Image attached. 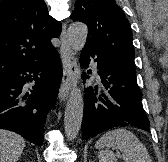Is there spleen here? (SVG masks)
<instances>
[{
    "label": "spleen",
    "instance_id": "spleen-1",
    "mask_svg": "<svg viewBox=\"0 0 168 162\" xmlns=\"http://www.w3.org/2000/svg\"><path fill=\"white\" fill-rule=\"evenodd\" d=\"M99 162H117L112 149H119L125 162H152L146 147L131 132L123 128L106 132L98 139Z\"/></svg>",
    "mask_w": 168,
    "mask_h": 162
}]
</instances>
